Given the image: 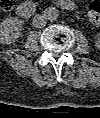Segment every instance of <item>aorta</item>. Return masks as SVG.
Here are the masks:
<instances>
[{
  "mask_svg": "<svg viewBox=\"0 0 100 118\" xmlns=\"http://www.w3.org/2000/svg\"><path fill=\"white\" fill-rule=\"evenodd\" d=\"M47 20L55 21L59 16V10L56 7H48L44 11Z\"/></svg>",
  "mask_w": 100,
  "mask_h": 118,
  "instance_id": "762f6f07",
  "label": "aorta"
}]
</instances>
